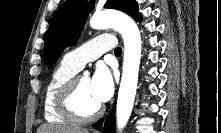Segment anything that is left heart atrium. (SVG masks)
<instances>
[{"mask_svg":"<svg viewBox=\"0 0 221 133\" xmlns=\"http://www.w3.org/2000/svg\"><path fill=\"white\" fill-rule=\"evenodd\" d=\"M91 89L95 99L101 104L107 102L114 92V79L105 65L97 66L91 78Z\"/></svg>","mask_w":221,"mask_h":133,"instance_id":"1","label":"left heart atrium"}]
</instances>
